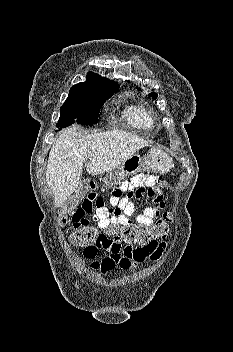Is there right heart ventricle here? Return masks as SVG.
I'll return each instance as SVG.
<instances>
[{
  "label": "right heart ventricle",
  "instance_id": "right-heart-ventricle-1",
  "mask_svg": "<svg viewBox=\"0 0 233 352\" xmlns=\"http://www.w3.org/2000/svg\"><path fill=\"white\" fill-rule=\"evenodd\" d=\"M128 123L137 128L149 129L153 125V119L149 111L140 105L130 106L124 113Z\"/></svg>",
  "mask_w": 233,
  "mask_h": 352
}]
</instances>
